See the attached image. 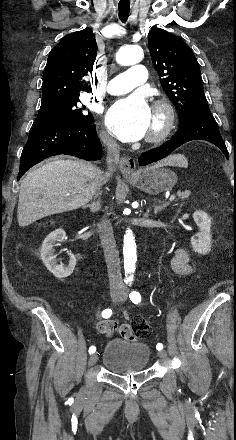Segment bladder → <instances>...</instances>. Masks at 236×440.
Instances as JSON below:
<instances>
[{
	"label": "bladder",
	"instance_id": "bladder-1",
	"mask_svg": "<svg viewBox=\"0 0 236 440\" xmlns=\"http://www.w3.org/2000/svg\"><path fill=\"white\" fill-rule=\"evenodd\" d=\"M102 364L113 373H137L148 369L151 350L148 344L113 338L107 342Z\"/></svg>",
	"mask_w": 236,
	"mask_h": 440
}]
</instances>
